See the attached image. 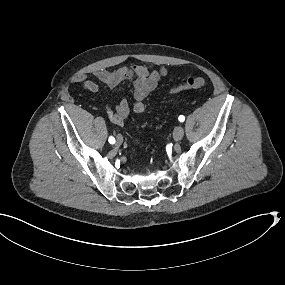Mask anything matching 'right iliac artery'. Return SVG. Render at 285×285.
Returning a JSON list of instances; mask_svg holds the SVG:
<instances>
[{"label":"right iliac artery","mask_w":285,"mask_h":285,"mask_svg":"<svg viewBox=\"0 0 285 285\" xmlns=\"http://www.w3.org/2000/svg\"><path fill=\"white\" fill-rule=\"evenodd\" d=\"M108 141H109L110 144H114L115 143V138L110 136Z\"/></svg>","instance_id":"right-iliac-artery-1"}]
</instances>
